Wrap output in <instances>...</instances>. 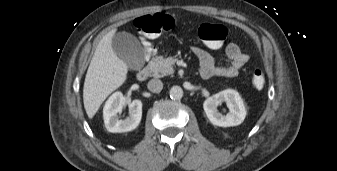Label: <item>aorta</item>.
<instances>
[{
    "label": "aorta",
    "instance_id": "1",
    "mask_svg": "<svg viewBox=\"0 0 337 171\" xmlns=\"http://www.w3.org/2000/svg\"><path fill=\"white\" fill-rule=\"evenodd\" d=\"M169 94L172 99L179 100L183 97V90L180 86H173Z\"/></svg>",
    "mask_w": 337,
    "mask_h": 171
}]
</instances>
